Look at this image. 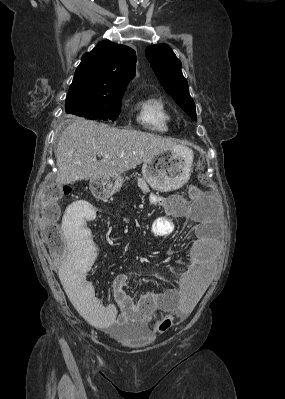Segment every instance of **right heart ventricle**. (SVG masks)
<instances>
[{
  "label": "right heart ventricle",
  "instance_id": "e07e8e85",
  "mask_svg": "<svg viewBox=\"0 0 285 399\" xmlns=\"http://www.w3.org/2000/svg\"><path fill=\"white\" fill-rule=\"evenodd\" d=\"M137 121L140 125L156 132H165L171 120L165 102L158 96L148 95L135 102Z\"/></svg>",
  "mask_w": 285,
  "mask_h": 399
}]
</instances>
